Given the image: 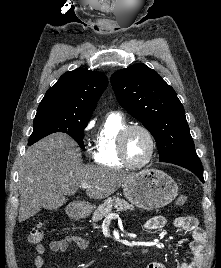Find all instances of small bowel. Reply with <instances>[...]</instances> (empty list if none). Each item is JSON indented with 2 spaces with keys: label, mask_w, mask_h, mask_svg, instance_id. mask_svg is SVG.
I'll return each instance as SVG.
<instances>
[{
  "label": "small bowel",
  "mask_w": 221,
  "mask_h": 268,
  "mask_svg": "<svg viewBox=\"0 0 221 268\" xmlns=\"http://www.w3.org/2000/svg\"><path fill=\"white\" fill-rule=\"evenodd\" d=\"M167 221L163 216H155L148 219L144 228L149 231L159 230L165 227ZM174 225L181 231L189 233L188 253L180 268H200L206 234L198 225V221L193 216H179L175 219ZM71 244L76 245L79 249L85 250L89 246V241L79 235H67L63 239L54 240L49 244V249L53 252H65ZM36 256L34 265L36 268H42L45 265L44 253L46 248L42 244L35 246ZM145 268H166L159 262H152Z\"/></svg>",
  "instance_id": "obj_1"
}]
</instances>
